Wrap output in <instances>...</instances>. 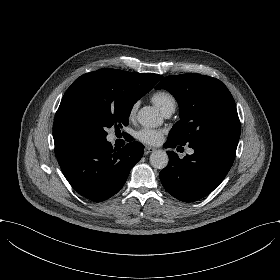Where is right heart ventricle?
<instances>
[{
	"instance_id": "1",
	"label": "right heart ventricle",
	"mask_w": 280,
	"mask_h": 280,
	"mask_svg": "<svg viewBox=\"0 0 280 280\" xmlns=\"http://www.w3.org/2000/svg\"><path fill=\"white\" fill-rule=\"evenodd\" d=\"M151 101L156 104L163 113L174 111L176 108V99L174 95L167 90H157L153 92Z\"/></svg>"
}]
</instances>
